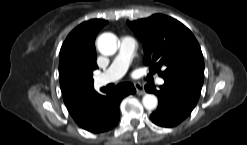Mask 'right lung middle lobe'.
<instances>
[{
    "label": "right lung middle lobe",
    "instance_id": "right-lung-middle-lobe-1",
    "mask_svg": "<svg viewBox=\"0 0 247 145\" xmlns=\"http://www.w3.org/2000/svg\"><path fill=\"white\" fill-rule=\"evenodd\" d=\"M93 70L77 66L69 67L60 77L63 91L70 96L82 95L93 89Z\"/></svg>",
    "mask_w": 247,
    "mask_h": 145
}]
</instances>
